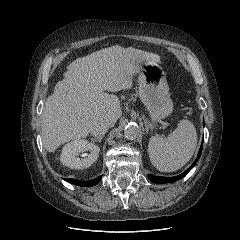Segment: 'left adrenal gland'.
Segmentation results:
<instances>
[{"label":"left adrenal gland","instance_id":"left-adrenal-gland-1","mask_svg":"<svg viewBox=\"0 0 240 240\" xmlns=\"http://www.w3.org/2000/svg\"><path fill=\"white\" fill-rule=\"evenodd\" d=\"M144 124H145V130L146 133H148L149 129H152L151 124L148 123L147 119L143 116Z\"/></svg>","mask_w":240,"mask_h":240}]
</instances>
